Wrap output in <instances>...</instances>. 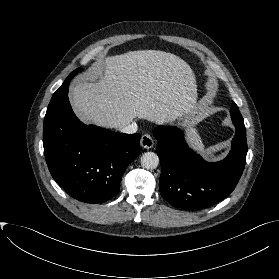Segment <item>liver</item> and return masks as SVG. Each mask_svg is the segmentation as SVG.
Masks as SVG:
<instances>
[{"label": "liver", "mask_w": 279, "mask_h": 279, "mask_svg": "<svg viewBox=\"0 0 279 279\" xmlns=\"http://www.w3.org/2000/svg\"><path fill=\"white\" fill-rule=\"evenodd\" d=\"M69 97L85 123L120 129L139 118L163 125L183 121L193 112L197 85L193 70L180 57L138 50L103 58L80 77ZM188 139L203 149L193 129Z\"/></svg>", "instance_id": "1"}]
</instances>
